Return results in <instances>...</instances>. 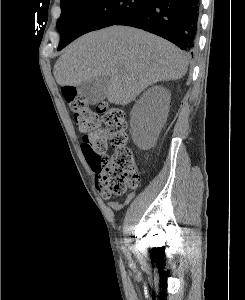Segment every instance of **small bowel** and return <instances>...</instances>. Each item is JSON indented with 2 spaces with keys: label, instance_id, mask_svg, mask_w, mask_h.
<instances>
[{
  "label": "small bowel",
  "instance_id": "small-bowel-1",
  "mask_svg": "<svg viewBox=\"0 0 245 300\" xmlns=\"http://www.w3.org/2000/svg\"><path fill=\"white\" fill-rule=\"evenodd\" d=\"M134 196H135V193H134V192H131V193H129V194L126 196V198H125V200H124L123 203H119V202L113 201V202H110V206H111L113 209H115V210H119V209H121L123 206L127 205V204L134 198Z\"/></svg>",
  "mask_w": 245,
  "mask_h": 300
}]
</instances>
